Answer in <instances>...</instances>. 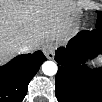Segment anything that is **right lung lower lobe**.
Segmentation results:
<instances>
[{
  "instance_id": "98d812e1",
  "label": "right lung lower lobe",
  "mask_w": 102,
  "mask_h": 102,
  "mask_svg": "<svg viewBox=\"0 0 102 102\" xmlns=\"http://www.w3.org/2000/svg\"><path fill=\"white\" fill-rule=\"evenodd\" d=\"M46 60L41 51L19 55L0 68V92L2 102H21L28 84Z\"/></svg>"
}]
</instances>
